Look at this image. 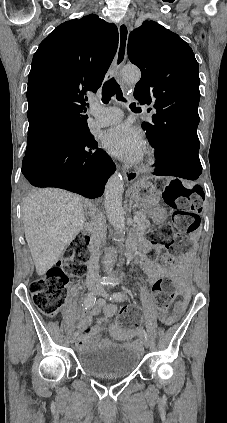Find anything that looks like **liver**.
<instances>
[{
  "label": "liver",
  "mask_w": 227,
  "mask_h": 423,
  "mask_svg": "<svg viewBox=\"0 0 227 423\" xmlns=\"http://www.w3.org/2000/svg\"><path fill=\"white\" fill-rule=\"evenodd\" d=\"M82 198L57 188L33 190L23 202L26 241L38 275L57 263L77 233L86 223Z\"/></svg>",
  "instance_id": "obj_1"
}]
</instances>
